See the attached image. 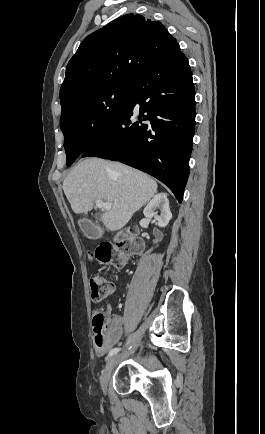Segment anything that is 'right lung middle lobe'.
Listing matches in <instances>:
<instances>
[{"label":"right lung middle lobe","instance_id":"right-lung-middle-lobe-1","mask_svg":"<svg viewBox=\"0 0 265 434\" xmlns=\"http://www.w3.org/2000/svg\"><path fill=\"white\" fill-rule=\"evenodd\" d=\"M134 79L112 76L74 87L60 96L67 166L120 119L131 100Z\"/></svg>","mask_w":265,"mask_h":434}]
</instances>
